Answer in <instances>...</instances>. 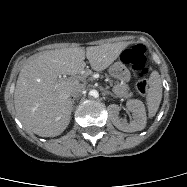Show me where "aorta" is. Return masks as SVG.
<instances>
[{
    "instance_id": "obj_1",
    "label": "aorta",
    "mask_w": 187,
    "mask_h": 187,
    "mask_svg": "<svg viewBox=\"0 0 187 187\" xmlns=\"http://www.w3.org/2000/svg\"><path fill=\"white\" fill-rule=\"evenodd\" d=\"M89 95L92 96V97L97 98V97L99 96V93H98L97 90H91V91L89 92Z\"/></svg>"
}]
</instances>
